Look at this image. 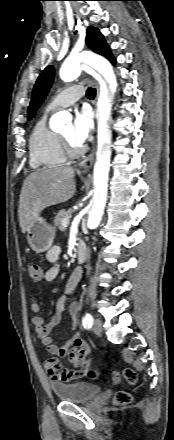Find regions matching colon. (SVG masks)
<instances>
[{
    "instance_id": "5ec220e1",
    "label": "colon",
    "mask_w": 174,
    "mask_h": 440,
    "mask_svg": "<svg viewBox=\"0 0 174 440\" xmlns=\"http://www.w3.org/2000/svg\"><path fill=\"white\" fill-rule=\"evenodd\" d=\"M27 271H28V275L29 277L38 282L42 279L43 277V270L41 265H39L38 263H34V262H30L27 265ZM88 375L91 378H94L96 375L94 372L92 371H88ZM124 377L125 379L131 383L134 384L137 381V374L134 370L127 368L124 370ZM110 381L113 384L118 383L119 381V376L116 372H112L110 375ZM132 402V395L129 392L126 391H118L115 395V403L119 406H125L128 405Z\"/></svg>"
}]
</instances>
